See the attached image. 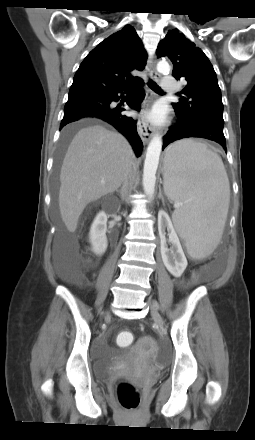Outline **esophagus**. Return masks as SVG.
I'll use <instances>...</instances> for the list:
<instances>
[{
	"instance_id": "34e87169",
	"label": "esophagus",
	"mask_w": 255,
	"mask_h": 440,
	"mask_svg": "<svg viewBox=\"0 0 255 440\" xmlns=\"http://www.w3.org/2000/svg\"><path fill=\"white\" fill-rule=\"evenodd\" d=\"M147 68L149 71V75L152 79L158 80L160 78V75L155 70L154 64L151 61L147 64ZM148 95L151 96V93L148 92ZM145 109H146V105L143 104L141 107L140 117L137 122V130H138V133H139L142 141L146 143L154 134L155 127L152 126L148 121H146L143 118V113L145 112Z\"/></svg>"
}]
</instances>
